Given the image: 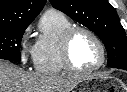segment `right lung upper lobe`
Returning a JSON list of instances; mask_svg holds the SVG:
<instances>
[{
	"label": "right lung upper lobe",
	"instance_id": "obj_1",
	"mask_svg": "<svg viewBox=\"0 0 127 92\" xmlns=\"http://www.w3.org/2000/svg\"><path fill=\"white\" fill-rule=\"evenodd\" d=\"M46 0H0V28L29 25Z\"/></svg>",
	"mask_w": 127,
	"mask_h": 92
}]
</instances>
